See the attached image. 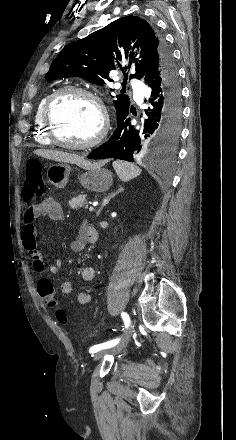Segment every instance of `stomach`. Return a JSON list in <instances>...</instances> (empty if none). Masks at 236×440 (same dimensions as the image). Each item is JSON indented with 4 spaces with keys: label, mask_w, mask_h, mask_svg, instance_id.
<instances>
[{
    "label": "stomach",
    "mask_w": 236,
    "mask_h": 440,
    "mask_svg": "<svg viewBox=\"0 0 236 440\" xmlns=\"http://www.w3.org/2000/svg\"><path fill=\"white\" fill-rule=\"evenodd\" d=\"M72 167L67 163H55L49 166L47 177L57 188H64L68 182ZM81 185L90 191L104 192L113 183L112 173L101 166L87 168L79 177Z\"/></svg>",
    "instance_id": "stomach-1"
}]
</instances>
